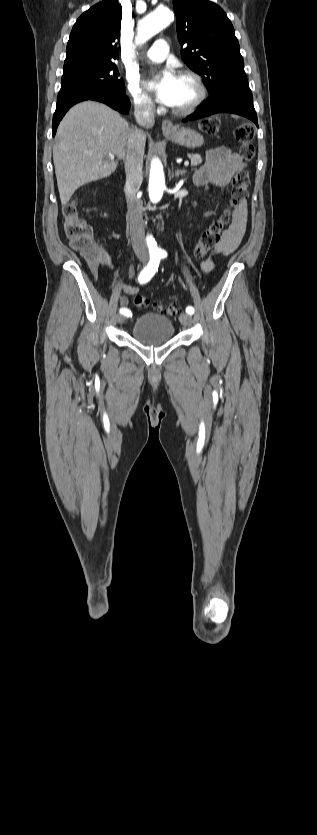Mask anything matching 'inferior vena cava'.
Here are the masks:
<instances>
[{"label":"inferior vena cava","instance_id":"inferior-vena-cava-1","mask_svg":"<svg viewBox=\"0 0 317 835\" xmlns=\"http://www.w3.org/2000/svg\"><path fill=\"white\" fill-rule=\"evenodd\" d=\"M134 115L137 123L144 128L154 125L155 106L150 100L135 103ZM146 135L141 129L132 128L127 142L125 157L126 183L125 193L128 216L130 220V236L136 256L142 260L148 257L145 243L143 222V204L137 198V192L143 180V156Z\"/></svg>","mask_w":317,"mask_h":835}]
</instances>
